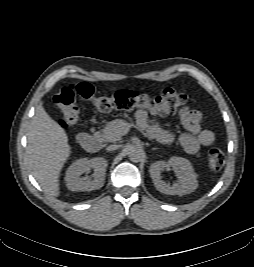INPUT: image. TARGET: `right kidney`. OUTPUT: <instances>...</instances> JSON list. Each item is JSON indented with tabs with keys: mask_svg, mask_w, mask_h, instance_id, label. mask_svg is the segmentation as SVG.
I'll return each mask as SVG.
<instances>
[{
	"mask_svg": "<svg viewBox=\"0 0 254 267\" xmlns=\"http://www.w3.org/2000/svg\"><path fill=\"white\" fill-rule=\"evenodd\" d=\"M107 160L96 157L88 160L81 158L73 162L66 171L65 181L71 191H92L103 186L105 181ZM94 171L92 178L81 177L83 173Z\"/></svg>",
	"mask_w": 254,
	"mask_h": 267,
	"instance_id": "obj_1",
	"label": "right kidney"
}]
</instances>
